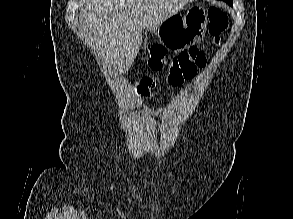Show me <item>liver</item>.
<instances>
[{
    "instance_id": "liver-1",
    "label": "liver",
    "mask_w": 293,
    "mask_h": 219,
    "mask_svg": "<svg viewBox=\"0 0 293 219\" xmlns=\"http://www.w3.org/2000/svg\"><path fill=\"white\" fill-rule=\"evenodd\" d=\"M194 0H82L80 34L86 44L119 71H128L143 40L165 19Z\"/></svg>"
}]
</instances>
